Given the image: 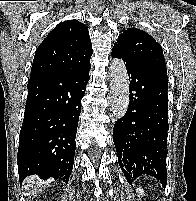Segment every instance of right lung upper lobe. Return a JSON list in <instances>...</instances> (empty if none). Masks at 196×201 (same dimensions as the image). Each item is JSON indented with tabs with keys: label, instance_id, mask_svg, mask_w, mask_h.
I'll list each match as a JSON object with an SVG mask.
<instances>
[{
	"label": "right lung upper lobe",
	"instance_id": "obj_1",
	"mask_svg": "<svg viewBox=\"0 0 196 201\" xmlns=\"http://www.w3.org/2000/svg\"><path fill=\"white\" fill-rule=\"evenodd\" d=\"M92 54L88 28L77 20L64 21L37 48L30 79L82 69Z\"/></svg>",
	"mask_w": 196,
	"mask_h": 201
}]
</instances>
